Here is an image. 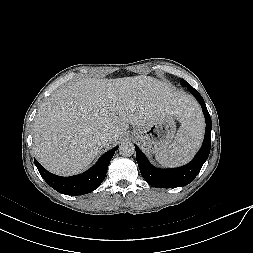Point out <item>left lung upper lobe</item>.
<instances>
[{
    "mask_svg": "<svg viewBox=\"0 0 253 253\" xmlns=\"http://www.w3.org/2000/svg\"><path fill=\"white\" fill-rule=\"evenodd\" d=\"M182 84H183L184 86H188V85H189L185 80H182Z\"/></svg>",
    "mask_w": 253,
    "mask_h": 253,
    "instance_id": "left-lung-upper-lobe-1",
    "label": "left lung upper lobe"
}]
</instances>
